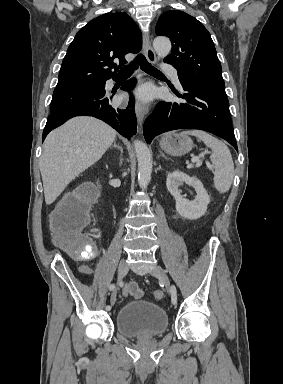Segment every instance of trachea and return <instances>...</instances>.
<instances>
[{
	"instance_id": "obj_1",
	"label": "trachea",
	"mask_w": 283,
	"mask_h": 384,
	"mask_svg": "<svg viewBox=\"0 0 283 384\" xmlns=\"http://www.w3.org/2000/svg\"><path fill=\"white\" fill-rule=\"evenodd\" d=\"M139 65L140 68L144 70V72L149 73V75L163 76V73L160 72V70H157V68L153 67V65H151V63H149L143 55H138L137 59L130 65V71L128 74H130L131 71L137 69Z\"/></svg>"
}]
</instances>
